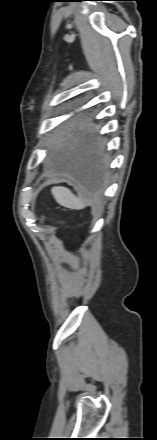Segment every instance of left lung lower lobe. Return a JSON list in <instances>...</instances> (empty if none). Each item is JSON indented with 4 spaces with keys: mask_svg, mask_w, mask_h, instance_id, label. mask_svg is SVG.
<instances>
[{
    "mask_svg": "<svg viewBox=\"0 0 157 440\" xmlns=\"http://www.w3.org/2000/svg\"><path fill=\"white\" fill-rule=\"evenodd\" d=\"M65 168L95 186L103 175L104 162L96 144L84 137L78 150L65 162Z\"/></svg>",
    "mask_w": 157,
    "mask_h": 440,
    "instance_id": "obj_1",
    "label": "left lung lower lobe"
}]
</instances>
